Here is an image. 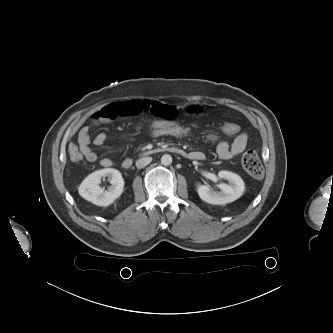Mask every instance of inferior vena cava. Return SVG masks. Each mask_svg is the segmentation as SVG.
<instances>
[{
  "mask_svg": "<svg viewBox=\"0 0 333 333\" xmlns=\"http://www.w3.org/2000/svg\"><path fill=\"white\" fill-rule=\"evenodd\" d=\"M152 161V158L151 157H144V158H141V159H138L136 161V167L138 169H141V168H144L146 165H148L150 162Z\"/></svg>",
  "mask_w": 333,
  "mask_h": 333,
  "instance_id": "1",
  "label": "inferior vena cava"
}]
</instances>
